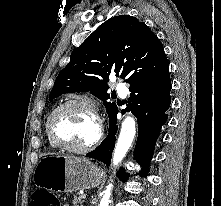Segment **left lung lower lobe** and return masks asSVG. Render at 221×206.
I'll return each instance as SVG.
<instances>
[{
    "mask_svg": "<svg viewBox=\"0 0 221 206\" xmlns=\"http://www.w3.org/2000/svg\"><path fill=\"white\" fill-rule=\"evenodd\" d=\"M170 89L169 67L160 74L129 88L131 95L125 111H131L138 121V138L134 158L142 166L140 172L142 176L147 174L154 146L160 135V128L168 118L166 111L171 103ZM117 113L118 108L112 116L107 138L94 151L86 154L87 157L102 161L107 166L110 164L115 145ZM118 177L125 181L128 175L121 170L118 172Z\"/></svg>",
    "mask_w": 221,
    "mask_h": 206,
    "instance_id": "1",
    "label": "left lung lower lobe"
}]
</instances>
